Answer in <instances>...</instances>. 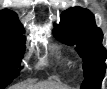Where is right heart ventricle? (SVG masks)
Returning a JSON list of instances; mask_svg holds the SVG:
<instances>
[{"label":"right heart ventricle","instance_id":"1","mask_svg":"<svg viewBox=\"0 0 107 89\" xmlns=\"http://www.w3.org/2000/svg\"><path fill=\"white\" fill-rule=\"evenodd\" d=\"M64 60L67 64H71V59L69 57H64Z\"/></svg>","mask_w":107,"mask_h":89}]
</instances>
